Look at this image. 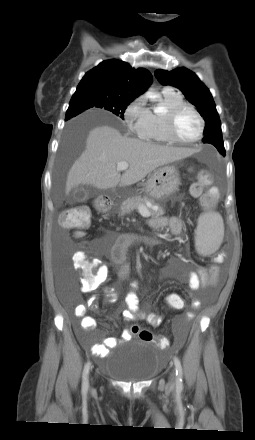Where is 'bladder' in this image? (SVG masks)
<instances>
[{"mask_svg": "<svg viewBox=\"0 0 255 440\" xmlns=\"http://www.w3.org/2000/svg\"><path fill=\"white\" fill-rule=\"evenodd\" d=\"M120 347L123 350L118 357L111 359L108 375L131 383L144 382L156 376L160 363L158 347L150 346L144 341Z\"/></svg>", "mask_w": 255, "mask_h": 440, "instance_id": "31cf9c89", "label": "bladder"}]
</instances>
